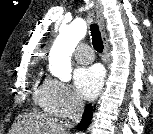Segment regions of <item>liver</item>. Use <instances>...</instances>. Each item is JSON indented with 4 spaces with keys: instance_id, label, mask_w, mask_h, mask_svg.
Returning <instances> with one entry per match:
<instances>
[{
    "instance_id": "6515ba94",
    "label": "liver",
    "mask_w": 153,
    "mask_h": 134,
    "mask_svg": "<svg viewBox=\"0 0 153 134\" xmlns=\"http://www.w3.org/2000/svg\"><path fill=\"white\" fill-rule=\"evenodd\" d=\"M28 117L29 119L24 124V130H22V127H19L17 132H51L52 134H64L65 132L62 124L44 114L32 113Z\"/></svg>"
}]
</instances>
